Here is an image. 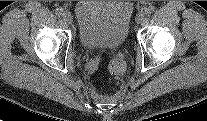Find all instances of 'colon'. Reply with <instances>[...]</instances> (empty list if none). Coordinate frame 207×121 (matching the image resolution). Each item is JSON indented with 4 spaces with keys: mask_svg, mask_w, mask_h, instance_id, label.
Wrapping results in <instances>:
<instances>
[{
    "mask_svg": "<svg viewBox=\"0 0 207 121\" xmlns=\"http://www.w3.org/2000/svg\"><path fill=\"white\" fill-rule=\"evenodd\" d=\"M125 70V62L119 58V57H114L110 60L109 63V71L113 75H120L124 72Z\"/></svg>",
    "mask_w": 207,
    "mask_h": 121,
    "instance_id": "5ec220e1",
    "label": "colon"
}]
</instances>
